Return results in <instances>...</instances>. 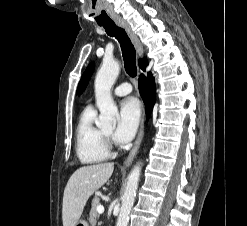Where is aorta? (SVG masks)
<instances>
[{
    "label": "aorta",
    "mask_w": 247,
    "mask_h": 226,
    "mask_svg": "<svg viewBox=\"0 0 247 226\" xmlns=\"http://www.w3.org/2000/svg\"><path fill=\"white\" fill-rule=\"evenodd\" d=\"M120 72V66L116 61L106 60L103 62L95 79V98L100 111L97 126L104 128L114 126L118 117V109L112 96L111 88ZM141 166L137 164L128 176L125 192L122 197V206L118 216L116 226H127L129 214L135 201L136 190L138 188Z\"/></svg>",
    "instance_id": "aorta-1"
}]
</instances>
